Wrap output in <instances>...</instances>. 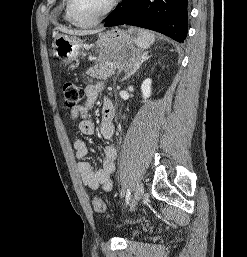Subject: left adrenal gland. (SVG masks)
<instances>
[{
    "instance_id": "a2214340",
    "label": "left adrenal gland",
    "mask_w": 247,
    "mask_h": 257,
    "mask_svg": "<svg viewBox=\"0 0 247 257\" xmlns=\"http://www.w3.org/2000/svg\"><path fill=\"white\" fill-rule=\"evenodd\" d=\"M150 58V56H148V52H144L140 59L133 65L132 69L130 71L127 72V74L125 75V77L122 79V81H125L127 79H129L142 65V63H144L145 61H147Z\"/></svg>"
}]
</instances>
